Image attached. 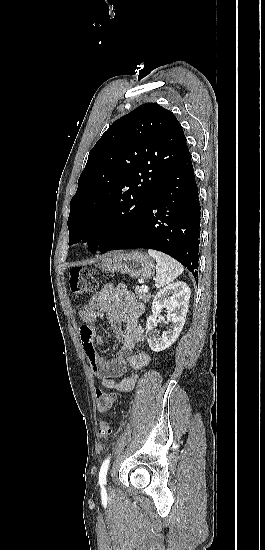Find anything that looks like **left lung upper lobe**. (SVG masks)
Masks as SVG:
<instances>
[{"label":"left lung upper lobe","instance_id":"left-lung-upper-lobe-1","mask_svg":"<svg viewBox=\"0 0 265 550\" xmlns=\"http://www.w3.org/2000/svg\"><path fill=\"white\" fill-rule=\"evenodd\" d=\"M187 150L177 118L156 103L115 121L91 149L79 177L67 223L69 245L88 240L95 251L125 235Z\"/></svg>","mask_w":265,"mask_h":550}]
</instances>
